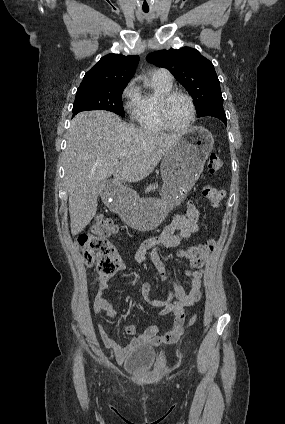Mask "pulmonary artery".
Instances as JSON below:
<instances>
[{
  "mask_svg": "<svg viewBox=\"0 0 285 424\" xmlns=\"http://www.w3.org/2000/svg\"><path fill=\"white\" fill-rule=\"evenodd\" d=\"M152 74L155 77H157L160 80L165 81V82H171V80H172L171 73L167 69H164V68H157L152 72Z\"/></svg>",
  "mask_w": 285,
  "mask_h": 424,
  "instance_id": "obj_1",
  "label": "pulmonary artery"
}]
</instances>
